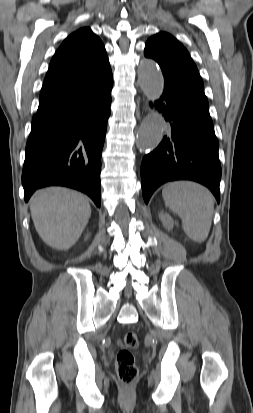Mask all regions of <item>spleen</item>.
I'll return each instance as SVG.
<instances>
[{"mask_svg": "<svg viewBox=\"0 0 253 413\" xmlns=\"http://www.w3.org/2000/svg\"><path fill=\"white\" fill-rule=\"evenodd\" d=\"M162 196L166 206L178 214L187 236L202 243L210 232L214 213V197L204 186L179 181L164 186Z\"/></svg>", "mask_w": 253, "mask_h": 413, "instance_id": "3e777b00", "label": "spleen"}]
</instances>
